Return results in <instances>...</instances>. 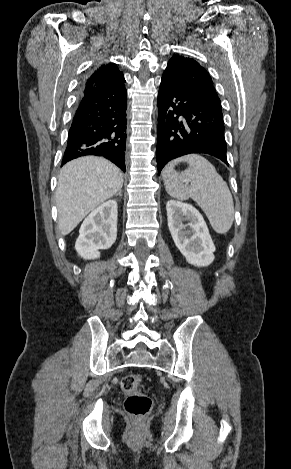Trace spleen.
Segmentation results:
<instances>
[{
  "instance_id": "1",
  "label": "spleen",
  "mask_w": 291,
  "mask_h": 469,
  "mask_svg": "<svg viewBox=\"0 0 291 469\" xmlns=\"http://www.w3.org/2000/svg\"><path fill=\"white\" fill-rule=\"evenodd\" d=\"M186 162L188 168L179 173L174 167ZM167 193L178 200L192 198L206 214L218 234L227 233L234 221V203L227 183L215 167L198 154L183 156L168 163L162 172ZM184 180L189 181L185 185Z\"/></svg>"
}]
</instances>
